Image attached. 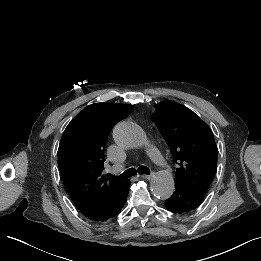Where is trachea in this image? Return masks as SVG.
Returning a JSON list of instances; mask_svg holds the SVG:
<instances>
[{
  "label": "trachea",
  "mask_w": 261,
  "mask_h": 261,
  "mask_svg": "<svg viewBox=\"0 0 261 261\" xmlns=\"http://www.w3.org/2000/svg\"><path fill=\"white\" fill-rule=\"evenodd\" d=\"M137 173L139 174H147L149 175L150 174V169L146 166H140L138 167V169L136 170L135 168H130V169H127L126 171H124L121 175L119 176H113L112 174L108 173L107 174V177L109 179H115V180H119V181H122V180H126L132 176H135Z\"/></svg>",
  "instance_id": "3493384b"
}]
</instances>
